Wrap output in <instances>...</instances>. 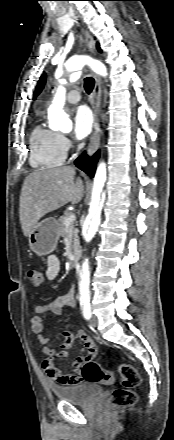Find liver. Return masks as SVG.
<instances>
[{
    "label": "liver",
    "instance_id": "liver-1",
    "mask_svg": "<svg viewBox=\"0 0 174 440\" xmlns=\"http://www.w3.org/2000/svg\"><path fill=\"white\" fill-rule=\"evenodd\" d=\"M84 196L83 181L75 180V169L70 166L39 168L24 180L19 204V218L24 236L47 213L68 202L79 203Z\"/></svg>",
    "mask_w": 174,
    "mask_h": 440
}]
</instances>
